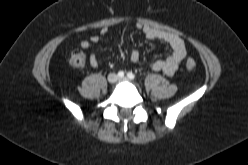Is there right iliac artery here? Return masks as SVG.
<instances>
[{"label":"right iliac artery","mask_w":248,"mask_h":165,"mask_svg":"<svg viewBox=\"0 0 248 165\" xmlns=\"http://www.w3.org/2000/svg\"><path fill=\"white\" fill-rule=\"evenodd\" d=\"M118 76H119V77H124V72H123V71H119V72H118Z\"/></svg>","instance_id":"82829eb1"}]
</instances>
